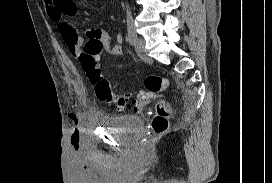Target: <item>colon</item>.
<instances>
[{
  "label": "colon",
  "mask_w": 272,
  "mask_h": 183,
  "mask_svg": "<svg viewBox=\"0 0 272 183\" xmlns=\"http://www.w3.org/2000/svg\"><path fill=\"white\" fill-rule=\"evenodd\" d=\"M103 48V45L99 41L90 40L83 46L78 57L82 69L92 83L99 100L116 105L119 109H123L130 104L135 111H139L156 94L168 88L169 81L167 78L150 74L144 79L145 91L136 97L129 100L127 97L117 95L99 66V57ZM170 113V107L166 102L160 101L157 104L156 115L152 122L155 133H162L167 129Z\"/></svg>",
  "instance_id": "colon-1"
}]
</instances>
